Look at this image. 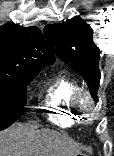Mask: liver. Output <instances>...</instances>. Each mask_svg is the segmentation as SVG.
Listing matches in <instances>:
<instances>
[{"instance_id": "1", "label": "liver", "mask_w": 114, "mask_h": 156, "mask_svg": "<svg viewBox=\"0 0 114 156\" xmlns=\"http://www.w3.org/2000/svg\"><path fill=\"white\" fill-rule=\"evenodd\" d=\"M83 146L50 129L16 124L0 132V156H77Z\"/></svg>"}]
</instances>
